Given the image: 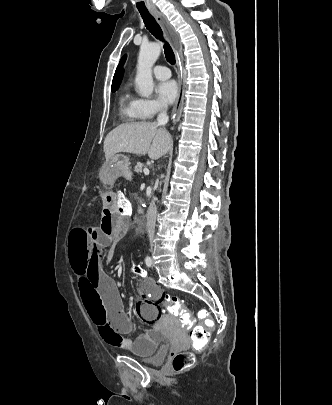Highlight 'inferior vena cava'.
Returning a JSON list of instances; mask_svg holds the SVG:
<instances>
[{
	"mask_svg": "<svg viewBox=\"0 0 332 405\" xmlns=\"http://www.w3.org/2000/svg\"><path fill=\"white\" fill-rule=\"evenodd\" d=\"M167 109H168V105L166 103L160 104V113L158 114V117H157L158 125H165L169 121V116L167 115ZM156 215H157V208H156L155 204L153 203L149 207L148 212H147V221H148V226H149L150 231H152L154 229Z\"/></svg>",
	"mask_w": 332,
	"mask_h": 405,
	"instance_id": "1",
	"label": "inferior vena cava"
}]
</instances>
